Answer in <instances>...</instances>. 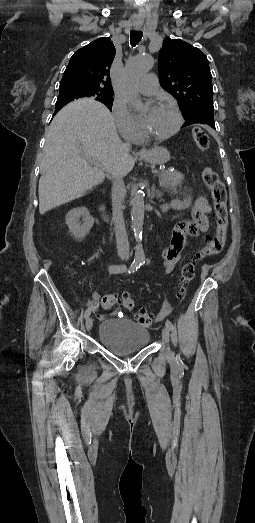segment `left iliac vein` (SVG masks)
Returning <instances> with one entry per match:
<instances>
[{"label": "left iliac vein", "mask_w": 255, "mask_h": 523, "mask_svg": "<svg viewBox=\"0 0 255 523\" xmlns=\"http://www.w3.org/2000/svg\"><path fill=\"white\" fill-rule=\"evenodd\" d=\"M162 338H163V340L165 341V343L167 345V358L171 359L173 357V353H172V351L170 350V347H169L170 331H169V328L167 326L164 327L163 330H162Z\"/></svg>", "instance_id": "4c4485c4"}]
</instances>
